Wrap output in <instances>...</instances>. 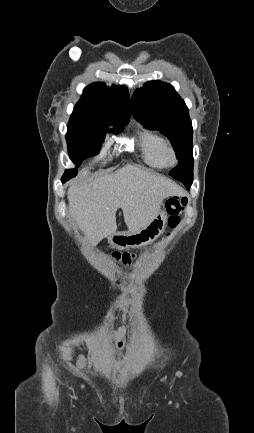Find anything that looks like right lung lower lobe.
Instances as JSON below:
<instances>
[{
  "instance_id": "98d812e1",
  "label": "right lung lower lobe",
  "mask_w": 254,
  "mask_h": 433,
  "mask_svg": "<svg viewBox=\"0 0 254 433\" xmlns=\"http://www.w3.org/2000/svg\"><path fill=\"white\" fill-rule=\"evenodd\" d=\"M76 175V171L75 170H66L61 181L62 183H65L67 180H69L70 178L74 177Z\"/></svg>"
}]
</instances>
